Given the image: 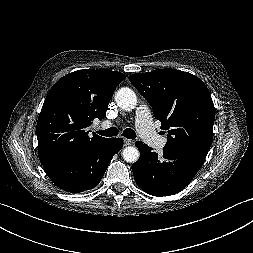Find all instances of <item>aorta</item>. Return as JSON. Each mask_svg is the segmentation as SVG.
Wrapping results in <instances>:
<instances>
[{
  "label": "aorta",
  "instance_id": "obj_1",
  "mask_svg": "<svg viewBox=\"0 0 253 253\" xmlns=\"http://www.w3.org/2000/svg\"><path fill=\"white\" fill-rule=\"evenodd\" d=\"M115 101L120 108L130 111L137 104V96L132 89L123 87L116 92ZM139 156L140 153L136 147L129 146L123 150V159L126 162L134 163L139 159Z\"/></svg>",
  "mask_w": 253,
  "mask_h": 253
}]
</instances>
